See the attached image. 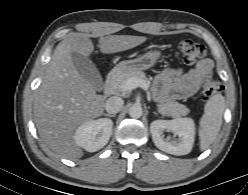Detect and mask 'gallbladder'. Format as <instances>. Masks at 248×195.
Returning <instances> with one entry per match:
<instances>
[{"mask_svg":"<svg viewBox=\"0 0 248 195\" xmlns=\"http://www.w3.org/2000/svg\"><path fill=\"white\" fill-rule=\"evenodd\" d=\"M71 57L78 73L90 82L95 89L102 90L103 80L94 63L88 57L77 52H72Z\"/></svg>","mask_w":248,"mask_h":195,"instance_id":"1","label":"gallbladder"}]
</instances>
